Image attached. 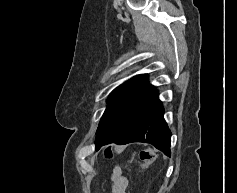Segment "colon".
Wrapping results in <instances>:
<instances>
[{
  "instance_id": "obj_1",
  "label": "colon",
  "mask_w": 237,
  "mask_h": 193,
  "mask_svg": "<svg viewBox=\"0 0 237 193\" xmlns=\"http://www.w3.org/2000/svg\"><path fill=\"white\" fill-rule=\"evenodd\" d=\"M113 156V149L111 147H108L105 150V157L106 158H111ZM155 160V153L149 149V148H144L140 151L139 153V167L141 169H147ZM125 169L127 171H130L128 166L125 165Z\"/></svg>"
}]
</instances>
